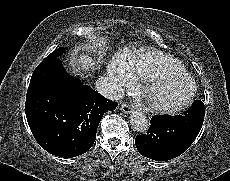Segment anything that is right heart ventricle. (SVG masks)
<instances>
[{"mask_svg": "<svg viewBox=\"0 0 230 181\" xmlns=\"http://www.w3.org/2000/svg\"><path fill=\"white\" fill-rule=\"evenodd\" d=\"M111 65L124 70L135 79L147 80L159 72L183 70L181 63L162 52L147 49H122L114 55Z\"/></svg>", "mask_w": 230, "mask_h": 181, "instance_id": "1", "label": "right heart ventricle"}]
</instances>
